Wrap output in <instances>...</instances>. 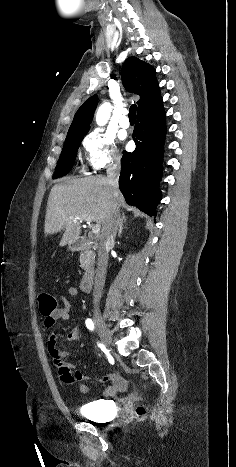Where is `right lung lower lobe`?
<instances>
[{
    "mask_svg": "<svg viewBox=\"0 0 236 467\" xmlns=\"http://www.w3.org/2000/svg\"><path fill=\"white\" fill-rule=\"evenodd\" d=\"M166 134L162 98L137 114L133 131L134 152L124 151L121 159L119 188L129 205L136 206L150 216L162 193L158 188L162 177V161Z\"/></svg>",
    "mask_w": 236,
    "mask_h": 467,
    "instance_id": "1",
    "label": "right lung lower lobe"
}]
</instances>
